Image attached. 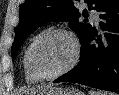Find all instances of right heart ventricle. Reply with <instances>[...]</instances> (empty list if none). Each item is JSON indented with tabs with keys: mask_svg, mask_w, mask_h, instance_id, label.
I'll use <instances>...</instances> for the list:
<instances>
[{
	"mask_svg": "<svg viewBox=\"0 0 119 95\" xmlns=\"http://www.w3.org/2000/svg\"><path fill=\"white\" fill-rule=\"evenodd\" d=\"M35 39V37L31 40V42L28 44V46L26 47L24 54H23V58H22V64H23V69H24V75H25V79L28 82H38L40 81V79H38L35 75L32 74V72L30 71L29 67H28V63H27V52L29 49L30 44L32 43V41Z\"/></svg>",
	"mask_w": 119,
	"mask_h": 95,
	"instance_id": "right-heart-ventricle-1",
	"label": "right heart ventricle"
}]
</instances>
